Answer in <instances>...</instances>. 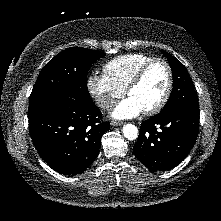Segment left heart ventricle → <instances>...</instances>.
<instances>
[{"label":"left heart ventricle","instance_id":"b2bd125f","mask_svg":"<svg viewBox=\"0 0 221 221\" xmlns=\"http://www.w3.org/2000/svg\"><path fill=\"white\" fill-rule=\"evenodd\" d=\"M167 85V72L163 64H153L143 76L141 82L130 91L132 98L141 108L147 110L158 103Z\"/></svg>","mask_w":221,"mask_h":221}]
</instances>
